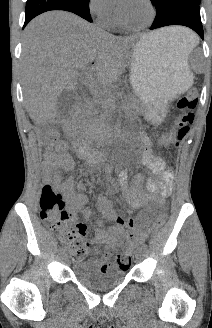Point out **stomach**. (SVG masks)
Returning <instances> with one entry per match:
<instances>
[{
  "mask_svg": "<svg viewBox=\"0 0 212 328\" xmlns=\"http://www.w3.org/2000/svg\"><path fill=\"white\" fill-rule=\"evenodd\" d=\"M130 81L148 117L157 122L163 118L167 101L192 85L193 74L181 47L145 36L134 47Z\"/></svg>",
  "mask_w": 212,
  "mask_h": 328,
  "instance_id": "stomach-1",
  "label": "stomach"
}]
</instances>
